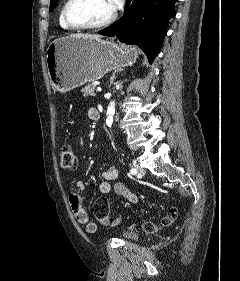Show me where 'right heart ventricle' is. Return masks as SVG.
I'll return each mask as SVG.
<instances>
[{
    "label": "right heart ventricle",
    "instance_id": "1",
    "mask_svg": "<svg viewBox=\"0 0 240 281\" xmlns=\"http://www.w3.org/2000/svg\"><path fill=\"white\" fill-rule=\"evenodd\" d=\"M63 9V7H62ZM62 9H61V12H60V15H59V24L60 26L65 29V30H70L72 28H70L65 22H64V19H63V15H62Z\"/></svg>",
    "mask_w": 240,
    "mask_h": 281
}]
</instances>
